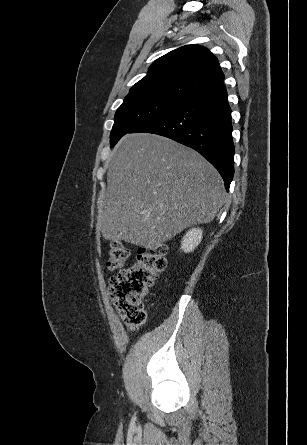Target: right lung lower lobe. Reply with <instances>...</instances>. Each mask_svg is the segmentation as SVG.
I'll return each mask as SVG.
<instances>
[{"label": "right lung lower lobe", "mask_w": 307, "mask_h": 445, "mask_svg": "<svg viewBox=\"0 0 307 445\" xmlns=\"http://www.w3.org/2000/svg\"><path fill=\"white\" fill-rule=\"evenodd\" d=\"M153 133L191 147L221 174L228 191L234 175L231 109L224 83L185 99L128 133Z\"/></svg>", "instance_id": "98d812e1"}]
</instances>
